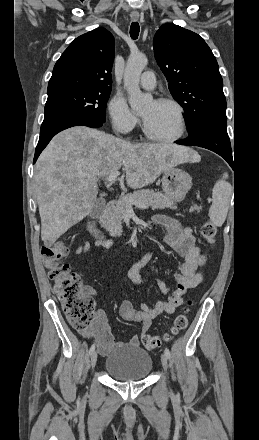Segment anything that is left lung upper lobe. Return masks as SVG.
<instances>
[{
	"label": "left lung upper lobe",
	"instance_id": "left-lung-upper-lobe-1",
	"mask_svg": "<svg viewBox=\"0 0 259 440\" xmlns=\"http://www.w3.org/2000/svg\"><path fill=\"white\" fill-rule=\"evenodd\" d=\"M153 48L170 93L185 111L188 132L208 119L227 121L218 63L198 34L164 24L154 36Z\"/></svg>",
	"mask_w": 259,
	"mask_h": 440
}]
</instances>
